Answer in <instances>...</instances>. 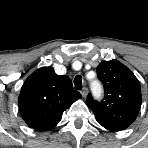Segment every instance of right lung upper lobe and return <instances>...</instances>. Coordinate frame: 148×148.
I'll list each match as a JSON object with an SVG mask.
<instances>
[{
	"label": "right lung upper lobe",
	"mask_w": 148,
	"mask_h": 148,
	"mask_svg": "<svg viewBox=\"0 0 148 148\" xmlns=\"http://www.w3.org/2000/svg\"><path fill=\"white\" fill-rule=\"evenodd\" d=\"M80 98L81 94L73 89L68 76L57 75L53 67H42L26 79L18 103L29 127L47 131L55 127L63 112Z\"/></svg>",
	"instance_id": "obj_1"
}]
</instances>
